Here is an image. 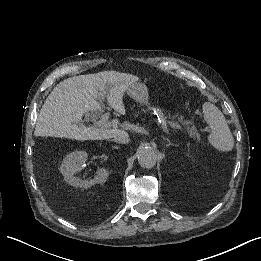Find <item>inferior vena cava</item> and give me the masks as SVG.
Instances as JSON below:
<instances>
[{
    "label": "inferior vena cava",
    "instance_id": "obj_1",
    "mask_svg": "<svg viewBox=\"0 0 261 261\" xmlns=\"http://www.w3.org/2000/svg\"><path fill=\"white\" fill-rule=\"evenodd\" d=\"M115 141L118 143H128L129 134L126 131H120V133L114 137Z\"/></svg>",
    "mask_w": 261,
    "mask_h": 261
}]
</instances>
